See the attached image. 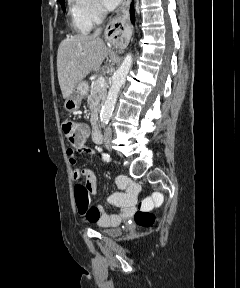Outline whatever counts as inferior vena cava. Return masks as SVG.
Masks as SVG:
<instances>
[{"label":"inferior vena cava","instance_id":"1","mask_svg":"<svg viewBox=\"0 0 240 288\" xmlns=\"http://www.w3.org/2000/svg\"><path fill=\"white\" fill-rule=\"evenodd\" d=\"M106 14H107V11H106L105 9H102V10H101V15H102V16H105ZM100 33H101V28H98V29L94 32L93 37L98 38L99 35H100ZM104 137H105L106 140H110V139H111V137H112V130H111L110 127H107V128H106L105 133H104Z\"/></svg>","mask_w":240,"mask_h":288}]
</instances>
